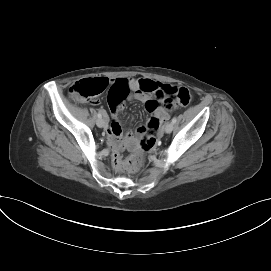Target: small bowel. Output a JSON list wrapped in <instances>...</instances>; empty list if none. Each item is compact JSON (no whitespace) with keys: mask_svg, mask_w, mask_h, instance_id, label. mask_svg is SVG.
<instances>
[{"mask_svg":"<svg viewBox=\"0 0 271 271\" xmlns=\"http://www.w3.org/2000/svg\"><path fill=\"white\" fill-rule=\"evenodd\" d=\"M146 84L148 90L142 89V85ZM169 86L162 84L157 81L150 79H113L109 83L108 91L106 94V99L109 102V106L112 110L113 120L110 124L106 126L105 132L109 138V141L114 146H119L121 144L130 143L133 141L134 137L131 133L122 135L121 123L118 119V114L124 108V100L135 99L142 102L145 105V108L148 112L154 114L155 119L160 122L165 121L168 117L166 110L173 109L165 105H162L163 100L156 97L157 92L161 91L164 87ZM151 95H154L155 98H152ZM149 130L148 126H141L137 129L139 135L144 134Z\"/></svg>","mask_w":271,"mask_h":271,"instance_id":"small-bowel-1","label":"small bowel"}]
</instances>
